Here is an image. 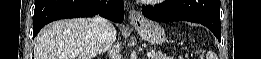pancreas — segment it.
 <instances>
[{
    "instance_id": "pancreas-1",
    "label": "pancreas",
    "mask_w": 261,
    "mask_h": 59,
    "mask_svg": "<svg viewBox=\"0 0 261 59\" xmlns=\"http://www.w3.org/2000/svg\"><path fill=\"white\" fill-rule=\"evenodd\" d=\"M150 59H169V57H167L166 54H163L162 52L153 51L152 57H150Z\"/></svg>"
}]
</instances>
